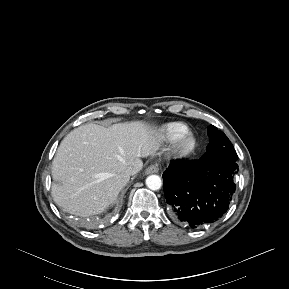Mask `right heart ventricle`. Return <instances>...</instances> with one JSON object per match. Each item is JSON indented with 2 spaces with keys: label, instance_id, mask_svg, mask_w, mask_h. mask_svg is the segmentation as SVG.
Returning a JSON list of instances; mask_svg holds the SVG:
<instances>
[{
  "label": "right heart ventricle",
  "instance_id": "e07e8e85",
  "mask_svg": "<svg viewBox=\"0 0 289 289\" xmlns=\"http://www.w3.org/2000/svg\"><path fill=\"white\" fill-rule=\"evenodd\" d=\"M189 131L186 124L182 122H170L161 126L160 135L167 141H174L181 134Z\"/></svg>",
  "mask_w": 289,
  "mask_h": 289
}]
</instances>
